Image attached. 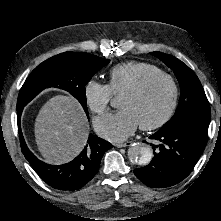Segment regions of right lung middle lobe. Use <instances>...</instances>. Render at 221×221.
<instances>
[{
  "instance_id": "obj_1",
  "label": "right lung middle lobe",
  "mask_w": 221,
  "mask_h": 221,
  "mask_svg": "<svg viewBox=\"0 0 221 221\" xmlns=\"http://www.w3.org/2000/svg\"><path fill=\"white\" fill-rule=\"evenodd\" d=\"M110 62L88 53L64 52L37 66L24 82L17 100V111L43 89L56 87L68 91L88 115L85 86L92 76Z\"/></svg>"
}]
</instances>
